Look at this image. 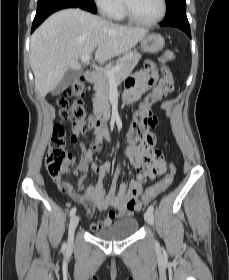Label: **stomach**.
Wrapping results in <instances>:
<instances>
[{"label":"stomach","mask_w":229,"mask_h":280,"mask_svg":"<svg viewBox=\"0 0 229 280\" xmlns=\"http://www.w3.org/2000/svg\"><path fill=\"white\" fill-rule=\"evenodd\" d=\"M164 45V38L159 34H149L141 39V48L144 52L157 53Z\"/></svg>","instance_id":"stomach-1"}]
</instances>
